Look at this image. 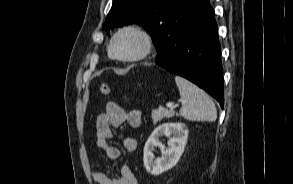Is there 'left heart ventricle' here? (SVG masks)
<instances>
[{"instance_id":"1","label":"left heart ventricle","mask_w":293,"mask_h":184,"mask_svg":"<svg viewBox=\"0 0 293 184\" xmlns=\"http://www.w3.org/2000/svg\"><path fill=\"white\" fill-rule=\"evenodd\" d=\"M141 47V38L133 32L122 33L114 42L115 53L124 57L137 54L141 50Z\"/></svg>"}]
</instances>
